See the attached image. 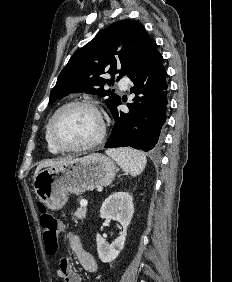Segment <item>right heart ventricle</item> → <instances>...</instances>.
Returning a JSON list of instances; mask_svg holds the SVG:
<instances>
[{"label": "right heart ventricle", "mask_w": 232, "mask_h": 282, "mask_svg": "<svg viewBox=\"0 0 232 282\" xmlns=\"http://www.w3.org/2000/svg\"><path fill=\"white\" fill-rule=\"evenodd\" d=\"M49 123V122H48ZM45 141H46V145H47V149L51 154L57 155L59 153H61V151L59 149H57L51 142L49 135H48V124L45 130Z\"/></svg>", "instance_id": "1"}]
</instances>
